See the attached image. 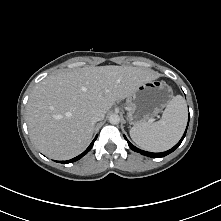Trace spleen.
Instances as JSON below:
<instances>
[{
	"label": "spleen",
	"mask_w": 221,
	"mask_h": 221,
	"mask_svg": "<svg viewBox=\"0 0 221 221\" xmlns=\"http://www.w3.org/2000/svg\"><path fill=\"white\" fill-rule=\"evenodd\" d=\"M187 123V106L177 95L167 104L159 121L143 122L130 130L132 140L142 149L162 152L173 147L181 138Z\"/></svg>",
	"instance_id": "3e777b00"
}]
</instances>
